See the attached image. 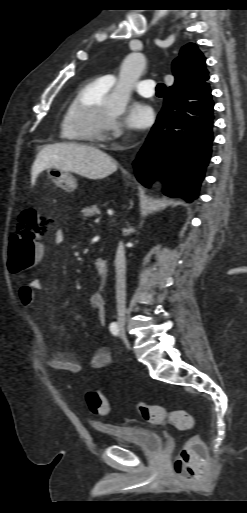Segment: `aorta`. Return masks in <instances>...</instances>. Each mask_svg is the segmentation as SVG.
Listing matches in <instances>:
<instances>
[{
	"mask_svg": "<svg viewBox=\"0 0 247 513\" xmlns=\"http://www.w3.org/2000/svg\"><path fill=\"white\" fill-rule=\"evenodd\" d=\"M145 65L144 55L137 52L129 54L123 60L119 80L108 99V106L111 110L119 114L125 111L133 86L141 76Z\"/></svg>",
	"mask_w": 247,
	"mask_h": 513,
	"instance_id": "762f6f07",
	"label": "aorta"
}]
</instances>
